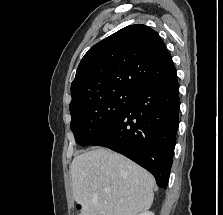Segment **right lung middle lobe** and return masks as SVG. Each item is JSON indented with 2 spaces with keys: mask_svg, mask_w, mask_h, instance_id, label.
Masks as SVG:
<instances>
[{
  "mask_svg": "<svg viewBox=\"0 0 223 215\" xmlns=\"http://www.w3.org/2000/svg\"><path fill=\"white\" fill-rule=\"evenodd\" d=\"M135 96L118 90L70 109V127L77 144L88 146L102 137L119 121Z\"/></svg>",
  "mask_w": 223,
  "mask_h": 215,
  "instance_id": "dd1d6c3e",
  "label": "right lung middle lobe"
}]
</instances>
